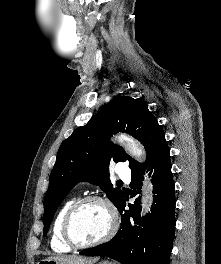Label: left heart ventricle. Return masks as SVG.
I'll return each mask as SVG.
<instances>
[{"instance_id": "b2bd125f", "label": "left heart ventricle", "mask_w": 221, "mask_h": 264, "mask_svg": "<svg viewBox=\"0 0 221 264\" xmlns=\"http://www.w3.org/2000/svg\"><path fill=\"white\" fill-rule=\"evenodd\" d=\"M110 218L107 210L98 203H87L74 214L71 231L79 243H89L103 237L108 231Z\"/></svg>"}]
</instances>
